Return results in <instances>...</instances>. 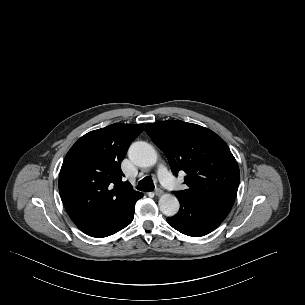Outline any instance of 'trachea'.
I'll use <instances>...</instances> for the list:
<instances>
[{
	"label": "trachea",
	"instance_id": "trachea-1",
	"mask_svg": "<svg viewBox=\"0 0 305 305\" xmlns=\"http://www.w3.org/2000/svg\"><path fill=\"white\" fill-rule=\"evenodd\" d=\"M137 189L140 191H153L154 190V184L151 179V177L146 176L142 180L139 181L137 185Z\"/></svg>",
	"mask_w": 305,
	"mask_h": 305
}]
</instances>
